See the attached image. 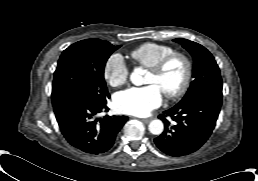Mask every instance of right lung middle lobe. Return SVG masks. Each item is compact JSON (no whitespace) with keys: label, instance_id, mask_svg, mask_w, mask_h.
<instances>
[{"label":"right lung middle lobe","instance_id":"1","mask_svg":"<svg viewBox=\"0 0 258 181\" xmlns=\"http://www.w3.org/2000/svg\"><path fill=\"white\" fill-rule=\"evenodd\" d=\"M119 47L100 39H86L69 46L58 61L52 96L71 94L93 103H105L110 95L104 80V67Z\"/></svg>","mask_w":258,"mask_h":181}]
</instances>
